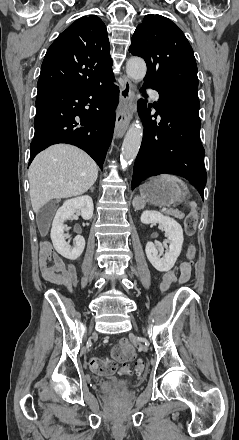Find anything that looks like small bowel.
I'll return each mask as SVG.
<instances>
[{
    "label": "small bowel",
    "mask_w": 239,
    "mask_h": 440,
    "mask_svg": "<svg viewBox=\"0 0 239 440\" xmlns=\"http://www.w3.org/2000/svg\"><path fill=\"white\" fill-rule=\"evenodd\" d=\"M39 263L44 279L50 283L61 285L71 290L76 283L75 267L66 265L62 257L54 252L50 244H44L40 251ZM190 277V265L180 264L179 282L185 283Z\"/></svg>",
    "instance_id": "1"
}]
</instances>
